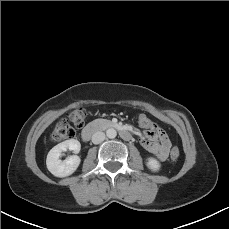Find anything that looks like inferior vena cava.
<instances>
[{"label": "inferior vena cava", "mask_w": 229, "mask_h": 229, "mask_svg": "<svg viewBox=\"0 0 229 229\" xmlns=\"http://www.w3.org/2000/svg\"><path fill=\"white\" fill-rule=\"evenodd\" d=\"M104 140H105V133H103L101 131L95 132L93 134V136H92V142L94 144H99V143H101Z\"/></svg>", "instance_id": "1"}]
</instances>
